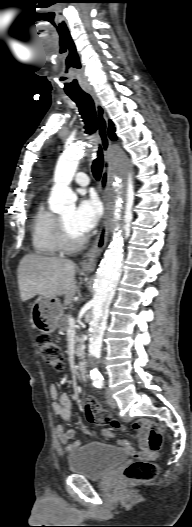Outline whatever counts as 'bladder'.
I'll return each mask as SVG.
<instances>
[{"mask_svg":"<svg viewBox=\"0 0 192 527\" xmlns=\"http://www.w3.org/2000/svg\"><path fill=\"white\" fill-rule=\"evenodd\" d=\"M126 458V453L120 448L101 442H90L69 454L68 466L74 475L100 480L121 465Z\"/></svg>","mask_w":192,"mask_h":527,"instance_id":"1","label":"bladder"}]
</instances>
